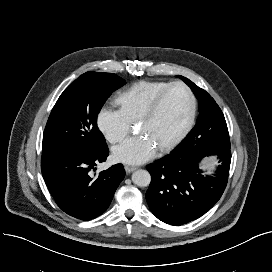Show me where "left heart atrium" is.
Returning <instances> with one entry per match:
<instances>
[{
  "label": "left heart atrium",
  "instance_id": "39dd6f15",
  "mask_svg": "<svg viewBox=\"0 0 272 272\" xmlns=\"http://www.w3.org/2000/svg\"><path fill=\"white\" fill-rule=\"evenodd\" d=\"M155 152L154 143L147 136L140 135L124 140L114 148L113 156L118 162L135 165L151 159Z\"/></svg>",
  "mask_w": 272,
  "mask_h": 272
}]
</instances>
